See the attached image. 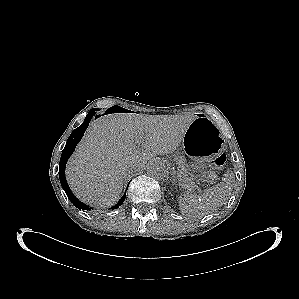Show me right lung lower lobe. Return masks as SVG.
<instances>
[{
    "label": "right lung lower lobe",
    "mask_w": 299,
    "mask_h": 299,
    "mask_svg": "<svg viewBox=\"0 0 299 299\" xmlns=\"http://www.w3.org/2000/svg\"><path fill=\"white\" fill-rule=\"evenodd\" d=\"M95 115V111L94 110H90V112L87 114L85 121L83 122V124L81 126H79L78 128H76L70 135V137L67 140V143L65 145V148L62 152L61 155V159H60V165H59V178H60V182L62 185V188L64 189L65 193L67 194L68 198L70 199V201L75 205V207H77L78 209H83V210H87L90 209L87 205L83 204L82 202H80L75 196L74 194L71 192L66 178H65V167H66V163L67 160L69 159V157L71 156V154L74 152L75 147L77 145V143H79V141L81 140V138L84 135L85 130L87 129L91 118ZM98 116H96L95 118H97ZM130 183V182H129ZM129 185V184H128ZM125 196H126V192L125 194L122 196V198L118 201V203L112 207V209L118 208L119 206H121L125 200Z\"/></svg>",
    "instance_id": "1"
}]
</instances>
